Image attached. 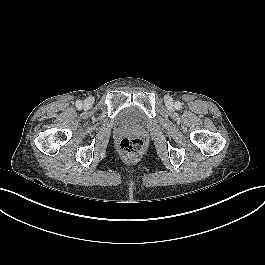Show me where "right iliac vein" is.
<instances>
[{
  "mask_svg": "<svg viewBox=\"0 0 265 265\" xmlns=\"http://www.w3.org/2000/svg\"><path fill=\"white\" fill-rule=\"evenodd\" d=\"M91 104H92V101H91L90 99H86V100L84 101V106H85L86 108L90 107Z\"/></svg>",
  "mask_w": 265,
  "mask_h": 265,
  "instance_id": "63e3f726",
  "label": "right iliac vein"
}]
</instances>
